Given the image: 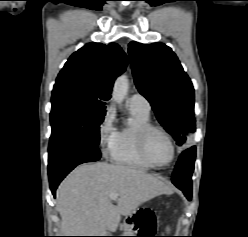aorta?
I'll list each match as a JSON object with an SVG mask.
<instances>
[{
	"mask_svg": "<svg viewBox=\"0 0 248 237\" xmlns=\"http://www.w3.org/2000/svg\"><path fill=\"white\" fill-rule=\"evenodd\" d=\"M129 88V80L127 75L123 74L119 76L113 87V92H112V99L118 104H121L124 98L127 95Z\"/></svg>",
	"mask_w": 248,
	"mask_h": 237,
	"instance_id": "1",
	"label": "aorta"
}]
</instances>
